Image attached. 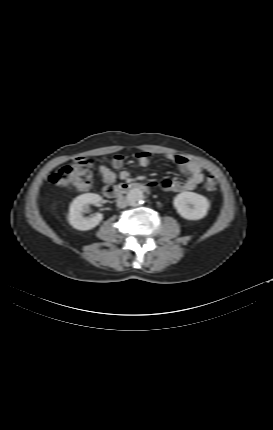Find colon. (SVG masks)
I'll list each match as a JSON object with an SVG mask.
<instances>
[{
    "label": "colon",
    "instance_id": "5ec220e1",
    "mask_svg": "<svg viewBox=\"0 0 273 430\" xmlns=\"http://www.w3.org/2000/svg\"><path fill=\"white\" fill-rule=\"evenodd\" d=\"M87 158L79 157L71 165L57 169L50 177L51 184L58 188L75 189L85 191L91 183V172ZM216 180L209 176L205 182V189L213 192L217 189Z\"/></svg>",
    "mask_w": 273,
    "mask_h": 430
}]
</instances>
